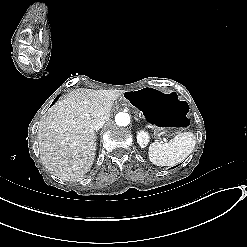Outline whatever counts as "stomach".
Instances as JSON below:
<instances>
[{
	"instance_id": "1",
	"label": "stomach",
	"mask_w": 247,
	"mask_h": 247,
	"mask_svg": "<svg viewBox=\"0 0 247 247\" xmlns=\"http://www.w3.org/2000/svg\"><path fill=\"white\" fill-rule=\"evenodd\" d=\"M124 96L156 135L177 134L189 125V105L176 92L144 87L127 91Z\"/></svg>"
}]
</instances>
